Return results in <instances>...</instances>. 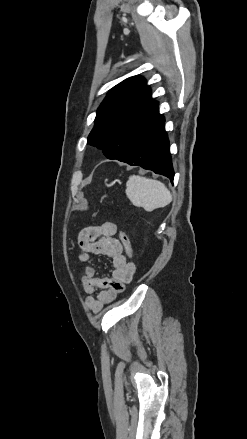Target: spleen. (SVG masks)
<instances>
[{"mask_svg":"<svg viewBox=\"0 0 247 439\" xmlns=\"http://www.w3.org/2000/svg\"><path fill=\"white\" fill-rule=\"evenodd\" d=\"M126 195L136 207L147 212L163 208L171 203L172 195L160 181L132 175L126 183Z\"/></svg>","mask_w":247,"mask_h":439,"instance_id":"obj_1","label":"spleen"}]
</instances>
